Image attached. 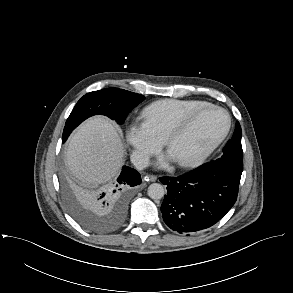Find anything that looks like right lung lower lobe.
Wrapping results in <instances>:
<instances>
[{
    "mask_svg": "<svg viewBox=\"0 0 293 293\" xmlns=\"http://www.w3.org/2000/svg\"><path fill=\"white\" fill-rule=\"evenodd\" d=\"M140 183V174L133 168L123 166L120 176L112 185L98 191L82 190V195L86 204L94 212L112 215L115 226L108 230L112 231L123 222L126 213V190Z\"/></svg>",
    "mask_w": 293,
    "mask_h": 293,
    "instance_id": "98d812e1",
    "label": "right lung lower lobe"
}]
</instances>
